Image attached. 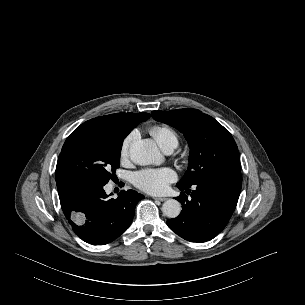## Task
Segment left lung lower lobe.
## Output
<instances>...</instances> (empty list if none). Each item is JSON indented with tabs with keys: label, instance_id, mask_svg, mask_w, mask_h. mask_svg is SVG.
Instances as JSON below:
<instances>
[{
	"label": "left lung lower lobe",
	"instance_id": "0a47b994",
	"mask_svg": "<svg viewBox=\"0 0 305 305\" xmlns=\"http://www.w3.org/2000/svg\"><path fill=\"white\" fill-rule=\"evenodd\" d=\"M191 186L194 190L191 192ZM191 186L177 187L184 192L176 199L182 211L167 225L176 234L191 242H205L216 237L227 225L241 191V172L230 171L204 177Z\"/></svg>",
	"mask_w": 305,
	"mask_h": 305
}]
</instances>
